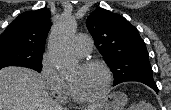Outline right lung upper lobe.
Masks as SVG:
<instances>
[{
  "instance_id": "obj_1",
  "label": "right lung upper lobe",
  "mask_w": 171,
  "mask_h": 110,
  "mask_svg": "<svg viewBox=\"0 0 171 110\" xmlns=\"http://www.w3.org/2000/svg\"><path fill=\"white\" fill-rule=\"evenodd\" d=\"M50 26L48 9L24 12L0 35V44L12 43L33 51L44 52Z\"/></svg>"
}]
</instances>
